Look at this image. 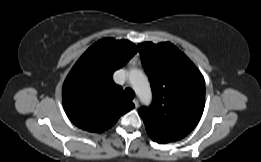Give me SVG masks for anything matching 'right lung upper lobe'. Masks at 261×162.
I'll use <instances>...</instances> for the list:
<instances>
[{"instance_id": "right-lung-upper-lobe-1", "label": "right lung upper lobe", "mask_w": 261, "mask_h": 162, "mask_svg": "<svg viewBox=\"0 0 261 162\" xmlns=\"http://www.w3.org/2000/svg\"><path fill=\"white\" fill-rule=\"evenodd\" d=\"M138 51L128 40L104 38L79 58L62 89L63 106L77 127L95 133L111 128L121 115L134 108L122 96V87L112 81Z\"/></svg>"}]
</instances>
